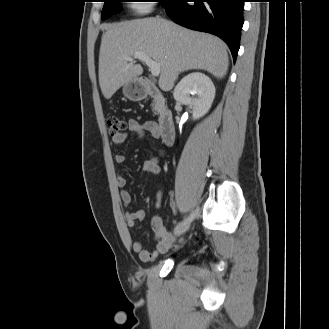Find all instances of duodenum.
Segmentation results:
<instances>
[{
	"instance_id": "duodenum-1",
	"label": "duodenum",
	"mask_w": 329,
	"mask_h": 329,
	"mask_svg": "<svg viewBox=\"0 0 329 329\" xmlns=\"http://www.w3.org/2000/svg\"><path fill=\"white\" fill-rule=\"evenodd\" d=\"M144 90L148 96L153 97L156 101L160 136L162 140L167 145L173 144L175 139V127L171 110L166 107L164 97L160 94L152 80H145Z\"/></svg>"
}]
</instances>
